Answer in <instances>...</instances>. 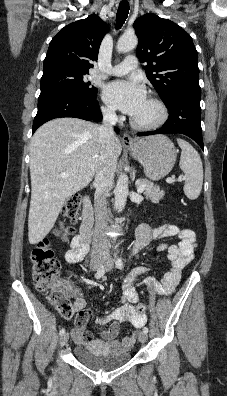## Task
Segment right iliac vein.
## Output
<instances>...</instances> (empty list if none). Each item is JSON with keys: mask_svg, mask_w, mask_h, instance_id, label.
I'll use <instances>...</instances> for the list:
<instances>
[{"mask_svg": "<svg viewBox=\"0 0 227 396\" xmlns=\"http://www.w3.org/2000/svg\"><path fill=\"white\" fill-rule=\"evenodd\" d=\"M90 267L92 270H100L104 267V261L94 260L91 262ZM68 339H69L68 333H64L63 335H61L60 340H59L60 346L63 347L68 342Z\"/></svg>", "mask_w": 227, "mask_h": 396, "instance_id": "right-iliac-vein-1", "label": "right iliac vein"}]
</instances>
